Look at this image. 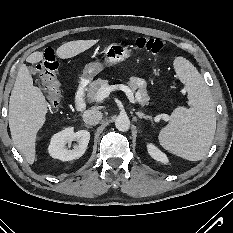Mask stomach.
<instances>
[{
  "instance_id": "obj_1",
  "label": "stomach",
  "mask_w": 233,
  "mask_h": 233,
  "mask_svg": "<svg viewBox=\"0 0 233 233\" xmlns=\"http://www.w3.org/2000/svg\"><path fill=\"white\" fill-rule=\"evenodd\" d=\"M104 62L95 61L85 65L82 78L91 80L97 74L104 70L105 67L120 63L132 55L131 49L121 43H112L105 47L103 51Z\"/></svg>"
}]
</instances>
